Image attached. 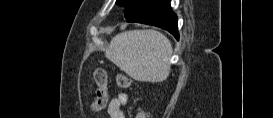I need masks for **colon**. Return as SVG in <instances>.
<instances>
[{"mask_svg": "<svg viewBox=\"0 0 273 118\" xmlns=\"http://www.w3.org/2000/svg\"><path fill=\"white\" fill-rule=\"evenodd\" d=\"M94 80L97 85V90L95 99L92 103V109L94 111H100L107 106L109 100L107 72L103 68L96 69L94 73ZM116 81L120 88L126 89L131 86L130 78L124 74L117 75ZM134 117L146 118V114L143 111H139Z\"/></svg>", "mask_w": 273, "mask_h": 118, "instance_id": "5ec220e1", "label": "colon"}]
</instances>
